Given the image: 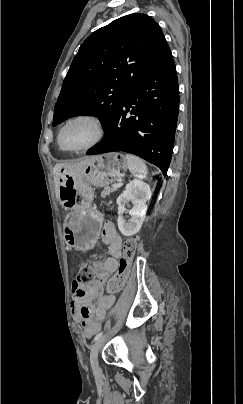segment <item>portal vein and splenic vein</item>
Returning a JSON list of instances; mask_svg holds the SVG:
<instances>
[{
    "label": "portal vein and splenic vein",
    "mask_w": 243,
    "mask_h": 404,
    "mask_svg": "<svg viewBox=\"0 0 243 404\" xmlns=\"http://www.w3.org/2000/svg\"><path fill=\"white\" fill-rule=\"evenodd\" d=\"M123 185H126V182L119 181L118 184H113L112 188H121Z\"/></svg>",
    "instance_id": "portal-vein-and-splenic-vein-1"
}]
</instances>
